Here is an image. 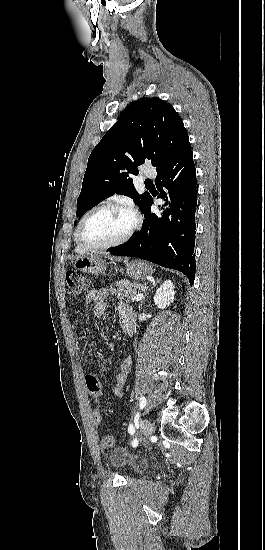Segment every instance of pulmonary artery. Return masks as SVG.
<instances>
[{"mask_svg": "<svg viewBox=\"0 0 265 550\" xmlns=\"http://www.w3.org/2000/svg\"><path fill=\"white\" fill-rule=\"evenodd\" d=\"M144 175H145L146 177H155V175H156L155 169L146 170V171L144 172Z\"/></svg>", "mask_w": 265, "mask_h": 550, "instance_id": "1", "label": "pulmonary artery"}]
</instances>
